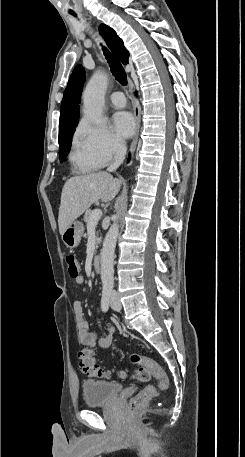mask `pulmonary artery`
Returning a JSON list of instances; mask_svg holds the SVG:
<instances>
[{"label":"pulmonary artery","mask_w":245,"mask_h":457,"mask_svg":"<svg viewBox=\"0 0 245 457\" xmlns=\"http://www.w3.org/2000/svg\"><path fill=\"white\" fill-rule=\"evenodd\" d=\"M109 100L117 108H122L126 103V99L121 92L112 93L109 96Z\"/></svg>","instance_id":"obj_1"}]
</instances>
